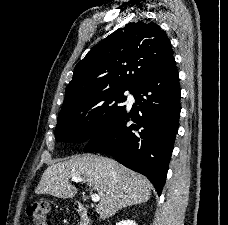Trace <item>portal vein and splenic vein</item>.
Masks as SVG:
<instances>
[{
	"label": "portal vein and splenic vein",
	"mask_w": 228,
	"mask_h": 225,
	"mask_svg": "<svg viewBox=\"0 0 228 225\" xmlns=\"http://www.w3.org/2000/svg\"><path fill=\"white\" fill-rule=\"evenodd\" d=\"M71 181H74V183H82L83 179H81V177H72ZM86 193H89L91 195V199L94 201V203L100 201V197H98V195H95L94 187L91 184L87 185Z\"/></svg>",
	"instance_id": "portal-vein-and-splenic-vein-1"
}]
</instances>
